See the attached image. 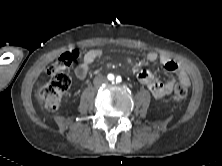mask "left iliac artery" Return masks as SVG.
Returning a JSON list of instances; mask_svg holds the SVG:
<instances>
[{
	"mask_svg": "<svg viewBox=\"0 0 222 166\" xmlns=\"http://www.w3.org/2000/svg\"><path fill=\"white\" fill-rule=\"evenodd\" d=\"M122 81V78L120 76H117L116 77V82H121Z\"/></svg>",
	"mask_w": 222,
	"mask_h": 166,
	"instance_id": "left-iliac-artery-1",
	"label": "left iliac artery"
}]
</instances>
